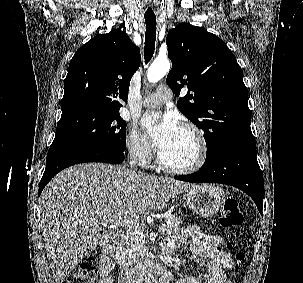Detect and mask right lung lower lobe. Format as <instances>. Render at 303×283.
<instances>
[{
	"label": "right lung lower lobe",
	"mask_w": 303,
	"mask_h": 283,
	"mask_svg": "<svg viewBox=\"0 0 303 283\" xmlns=\"http://www.w3.org/2000/svg\"><path fill=\"white\" fill-rule=\"evenodd\" d=\"M124 160V152H113L91 147H62L49 149L46 168L39 184V195L46 184L61 170L79 163L103 162L118 164Z\"/></svg>",
	"instance_id": "1"
}]
</instances>
